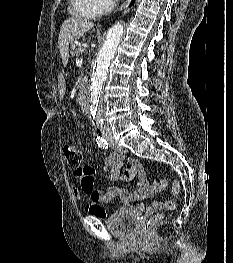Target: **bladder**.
Listing matches in <instances>:
<instances>
[{"label": "bladder", "instance_id": "1", "mask_svg": "<svg viewBox=\"0 0 233 263\" xmlns=\"http://www.w3.org/2000/svg\"><path fill=\"white\" fill-rule=\"evenodd\" d=\"M138 222L139 215L135 211L120 208L105 223L113 235L131 238L136 233Z\"/></svg>", "mask_w": 233, "mask_h": 263}]
</instances>
